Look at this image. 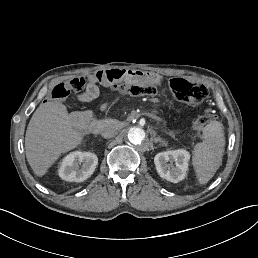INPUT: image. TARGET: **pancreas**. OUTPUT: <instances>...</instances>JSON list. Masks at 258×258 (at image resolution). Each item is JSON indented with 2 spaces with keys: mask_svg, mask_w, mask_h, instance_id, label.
Instances as JSON below:
<instances>
[{
  "mask_svg": "<svg viewBox=\"0 0 258 258\" xmlns=\"http://www.w3.org/2000/svg\"><path fill=\"white\" fill-rule=\"evenodd\" d=\"M135 117H143L146 121H149L151 118H153V120L158 126L166 125V120H163L159 114L151 112H142L140 109H137L135 112L128 113L125 116V119L128 122H132L135 119ZM118 124H123V118H118ZM171 135L174 136V134Z\"/></svg>",
  "mask_w": 258,
  "mask_h": 258,
  "instance_id": "1",
  "label": "pancreas"
}]
</instances>
